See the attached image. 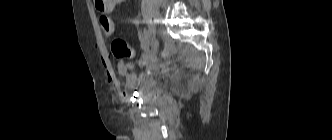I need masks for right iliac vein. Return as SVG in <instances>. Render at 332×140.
I'll list each match as a JSON object with an SVG mask.
<instances>
[{
	"label": "right iliac vein",
	"mask_w": 332,
	"mask_h": 140,
	"mask_svg": "<svg viewBox=\"0 0 332 140\" xmlns=\"http://www.w3.org/2000/svg\"><path fill=\"white\" fill-rule=\"evenodd\" d=\"M155 32H156V31H155V28L152 27V28H151V31H150V36H151V38L154 37Z\"/></svg>",
	"instance_id": "right-iliac-vein-1"
}]
</instances>
